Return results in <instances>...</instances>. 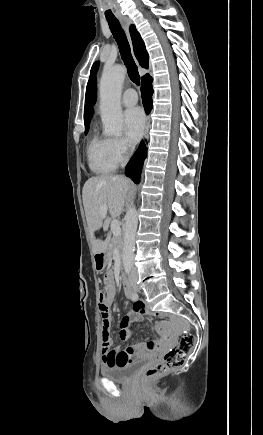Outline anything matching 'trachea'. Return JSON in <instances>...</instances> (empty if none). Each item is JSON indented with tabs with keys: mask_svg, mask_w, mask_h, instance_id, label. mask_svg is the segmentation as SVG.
Returning <instances> with one entry per match:
<instances>
[{
	"mask_svg": "<svg viewBox=\"0 0 263 435\" xmlns=\"http://www.w3.org/2000/svg\"><path fill=\"white\" fill-rule=\"evenodd\" d=\"M110 30L114 36V39L117 42V45L120 50L121 58L124 64L127 67V72L130 80L136 85L140 84V75L138 72V68L133 60L131 55L130 46L126 37L124 30L122 29L119 21L115 20H107Z\"/></svg>",
	"mask_w": 263,
	"mask_h": 435,
	"instance_id": "3493384b",
	"label": "trachea"
}]
</instances>
